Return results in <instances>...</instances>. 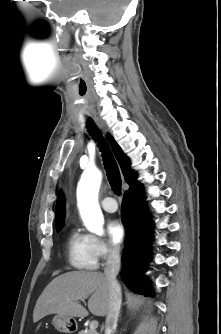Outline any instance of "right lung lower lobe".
I'll list each match as a JSON object with an SVG mask.
<instances>
[{
  "mask_svg": "<svg viewBox=\"0 0 221 334\" xmlns=\"http://www.w3.org/2000/svg\"><path fill=\"white\" fill-rule=\"evenodd\" d=\"M122 222L126 228L125 249L123 251L122 279L133 292L149 294L152 289L143 288L137 279L136 269H145L150 256V241L152 224L143 197V188L140 183L130 186L124 194L122 208Z\"/></svg>",
  "mask_w": 221,
  "mask_h": 334,
  "instance_id": "98d812e1",
  "label": "right lung lower lobe"
}]
</instances>
